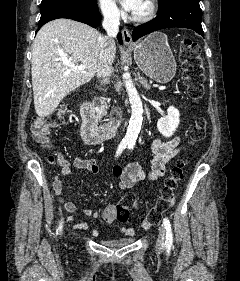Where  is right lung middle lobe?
<instances>
[{"mask_svg":"<svg viewBox=\"0 0 240 281\" xmlns=\"http://www.w3.org/2000/svg\"><path fill=\"white\" fill-rule=\"evenodd\" d=\"M60 4H70L84 8L95 9L97 8L96 0H42L41 11Z\"/></svg>","mask_w":240,"mask_h":281,"instance_id":"dd1d6c3e","label":"right lung middle lobe"}]
</instances>
